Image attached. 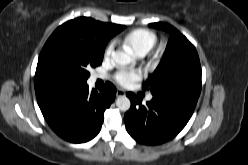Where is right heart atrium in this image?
Here are the masks:
<instances>
[{"label": "right heart atrium", "instance_id": "d8ad5b80", "mask_svg": "<svg viewBox=\"0 0 248 165\" xmlns=\"http://www.w3.org/2000/svg\"><path fill=\"white\" fill-rule=\"evenodd\" d=\"M113 49H114V44L110 43L105 49L104 57L109 58L113 52Z\"/></svg>", "mask_w": 248, "mask_h": 165}]
</instances>
